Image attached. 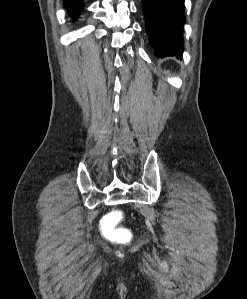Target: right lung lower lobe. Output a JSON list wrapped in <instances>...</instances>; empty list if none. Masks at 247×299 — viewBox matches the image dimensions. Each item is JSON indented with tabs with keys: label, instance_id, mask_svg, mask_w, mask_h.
Here are the masks:
<instances>
[{
	"label": "right lung lower lobe",
	"instance_id": "right-lung-lower-lobe-1",
	"mask_svg": "<svg viewBox=\"0 0 247 299\" xmlns=\"http://www.w3.org/2000/svg\"><path fill=\"white\" fill-rule=\"evenodd\" d=\"M64 4L73 19L77 18L84 7L82 0H64Z\"/></svg>",
	"mask_w": 247,
	"mask_h": 299
}]
</instances>
